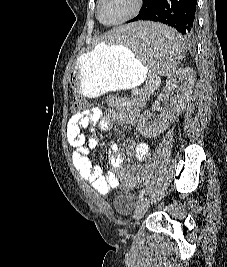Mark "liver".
Masks as SVG:
<instances>
[{"instance_id":"liver-1","label":"liver","mask_w":227,"mask_h":267,"mask_svg":"<svg viewBox=\"0 0 227 267\" xmlns=\"http://www.w3.org/2000/svg\"><path fill=\"white\" fill-rule=\"evenodd\" d=\"M111 33H117V30L114 29V30L110 31L108 36H111ZM98 45H100V44H98Z\"/></svg>"}]
</instances>
